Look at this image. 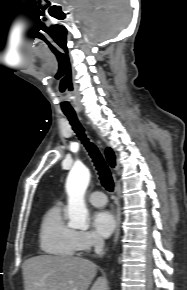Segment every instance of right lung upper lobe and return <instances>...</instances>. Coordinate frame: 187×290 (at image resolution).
I'll return each mask as SVG.
<instances>
[{
  "mask_svg": "<svg viewBox=\"0 0 187 290\" xmlns=\"http://www.w3.org/2000/svg\"><path fill=\"white\" fill-rule=\"evenodd\" d=\"M106 158H107L110 166L114 167L115 166V155L110 148L106 149Z\"/></svg>",
  "mask_w": 187,
  "mask_h": 290,
  "instance_id": "1",
  "label": "right lung upper lobe"
}]
</instances>
